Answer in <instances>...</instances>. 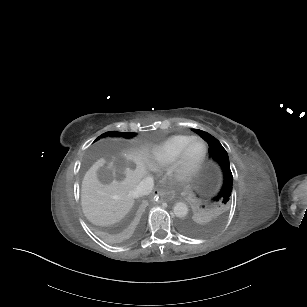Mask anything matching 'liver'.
Returning a JSON list of instances; mask_svg holds the SVG:
<instances>
[{
	"label": "liver",
	"mask_w": 307,
	"mask_h": 307,
	"mask_svg": "<svg viewBox=\"0 0 307 307\" xmlns=\"http://www.w3.org/2000/svg\"><path fill=\"white\" fill-rule=\"evenodd\" d=\"M145 155L119 150L93 163L82 182V207L88 220L109 225L121 220L134 202L146 174Z\"/></svg>",
	"instance_id": "obj_1"
}]
</instances>
